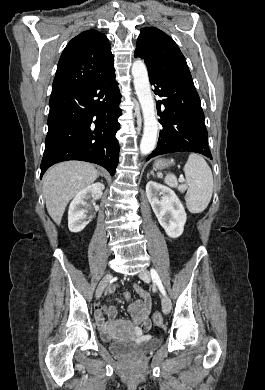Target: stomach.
Returning <instances> with one entry per match:
<instances>
[{"mask_svg": "<svg viewBox=\"0 0 265 390\" xmlns=\"http://www.w3.org/2000/svg\"><path fill=\"white\" fill-rule=\"evenodd\" d=\"M173 161H168L166 159H158L155 161L153 167L155 170H162L164 168H167L169 165H171Z\"/></svg>", "mask_w": 265, "mask_h": 390, "instance_id": "stomach-1", "label": "stomach"}]
</instances>
